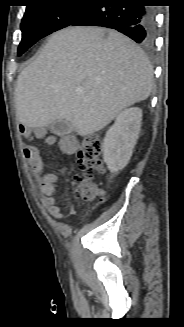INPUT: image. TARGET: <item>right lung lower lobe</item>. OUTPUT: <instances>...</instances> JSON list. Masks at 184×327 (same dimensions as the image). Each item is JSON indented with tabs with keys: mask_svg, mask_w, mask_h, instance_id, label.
<instances>
[{
	"mask_svg": "<svg viewBox=\"0 0 184 327\" xmlns=\"http://www.w3.org/2000/svg\"><path fill=\"white\" fill-rule=\"evenodd\" d=\"M96 0L71 25L101 26L116 29L137 43L151 45L155 34L154 11L143 6L144 0Z\"/></svg>",
	"mask_w": 184,
	"mask_h": 327,
	"instance_id": "right-lung-lower-lobe-1",
	"label": "right lung lower lobe"
}]
</instances>
